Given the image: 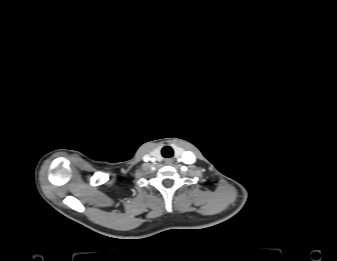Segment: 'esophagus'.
<instances>
[{"instance_id": "1", "label": "esophagus", "mask_w": 337, "mask_h": 261, "mask_svg": "<svg viewBox=\"0 0 337 261\" xmlns=\"http://www.w3.org/2000/svg\"><path fill=\"white\" fill-rule=\"evenodd\" d=\"M165 164H167V165L173 164V159L172 158L165 159Z\"/></svg>"}]
</instances>
